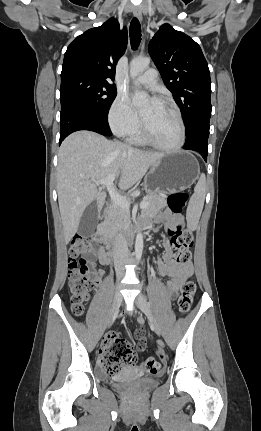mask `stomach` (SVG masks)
<instances>
[{
  "mask_svg": "<svg viewBox=\"0 0 261 431\" xmlns=\"http://www.w3.org/2000/svg\"><path fill=\"white\" fill-rule=\"evenodd\" d=\"M198 161L188 152L166 153L153 163L145 179L148 193L182 191L199 176Z\"/></svg>",
  "mask_w": 261,
  "mask_h": 431,
  "instance_id": "1",
  "label": "stomach"
}]
</instances>
